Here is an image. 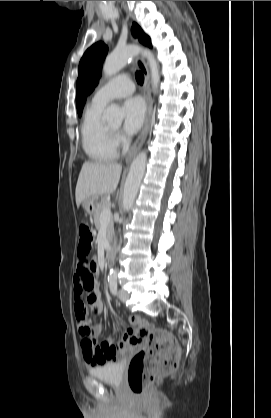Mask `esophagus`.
<instances>
[{
    "mask_svg": "<svg viewBox=\"0 0 271 418\" xmlns=\"http://www.w3.org/2000/svg\"><path fill=\"white\" fill-rule=\"evenodd\" d=\"M135 61H136L137 66L140 68V70L142 71V73L144 75V98H145L146 105H147V113H146V120H145L144 127H143L139 137L137 138L136 142L134 143L132 149L128 153V155L126 157V163H129L132 160L134 155L139 151V149L143 145V143H144V141L147 137L148 131H149L150 119H151V115H152V99H151V93H150L149 70H148L147 64H146L145 60L143 59V57L137 56Z\"/></svg>",
    "mask_w": 271,
    "mask_h": 418,
    "instance_id": "34e87169",
    "label": "esophagus"
}]
</instances>
